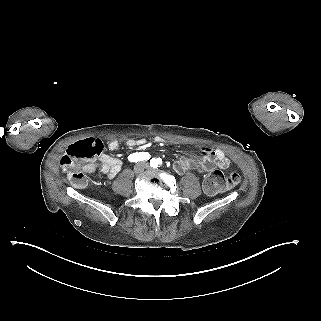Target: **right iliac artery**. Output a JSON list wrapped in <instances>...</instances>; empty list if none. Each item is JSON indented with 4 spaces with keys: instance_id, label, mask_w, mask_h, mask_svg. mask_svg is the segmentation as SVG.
<instances>
[{
    "instance_id": "1",
    "label": "right iliac artery",
    "mask_w": 321,
    "mask_h": 321,
    "mask_svg": "<svg viewBox=\"0 0 321 321\" xmlns=\"http://www.w3.org/2000/svg\"><path fill=\"white\" fill-rule=\"evenodd\" d=\"M149 158H150V155L147 152H138V153L129 155L130 162H140L143 160H148Z\"/></svg>"
}]
</instances>
